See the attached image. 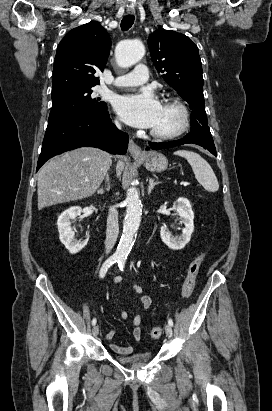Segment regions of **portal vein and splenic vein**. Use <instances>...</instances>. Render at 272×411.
<instances>
[{"label": "portal vein and splenic vein", "mask_w": 272, "mask_h": 411, "mask_svg": "<svg viewBox=\"0 0 272 411\" xmlns=\"http://www.w3.org/2000/svg\"><path fill=\"white\" fill-rule=\"evenodd\" d=\"M182 184H183V186H188V185H190L189 182H183Z\"/></svg>", "instance_id": "1"}]
</instances>
